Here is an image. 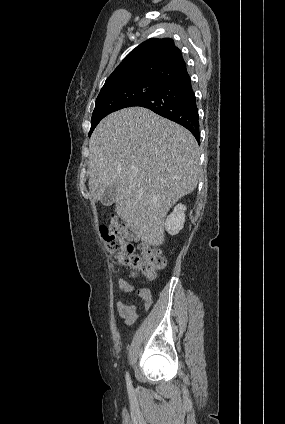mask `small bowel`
<instances>
[{"instance_id":"obj_1","label":"small bowel","mask_w":285,"mask_h":424,"mask_svg":"<svg viewBox=\"0 0 285 424\" xmlns=\"http://www.w3.org/2000/svg\"><path fill=\"white\" fill-rule=\"evenodd\" d=\"M118 288L121 297L116 301V311L125 320V324L130 326L134 324L138 318V304L129 303L125 299L126 296L135 291L134 286L125 278L118 280ZM139 299V305L143 311H148L152 305V297L147 288H139L135 291Z\"/></svg>"}]
</instances>
